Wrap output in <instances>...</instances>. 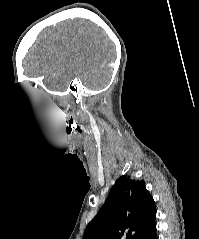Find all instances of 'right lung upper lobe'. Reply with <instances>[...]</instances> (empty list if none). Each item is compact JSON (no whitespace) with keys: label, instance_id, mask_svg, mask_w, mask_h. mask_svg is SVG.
<instances>
[{"label":"right lung upper lobe","instance_id":"right-lung-upper-lobe-1","mask_svg":"<svg viewBox=\"0 0 199 239\" xmlns=\"http://www.w3.org/2000/svg\"><path fill=\"white\" fill-rule=\"evenodd\" d=\"M155 216V202L144 180L121 176L83 239H135Z\"/></svg>","mask_w":199,"mask_h":239}]
</instances>
